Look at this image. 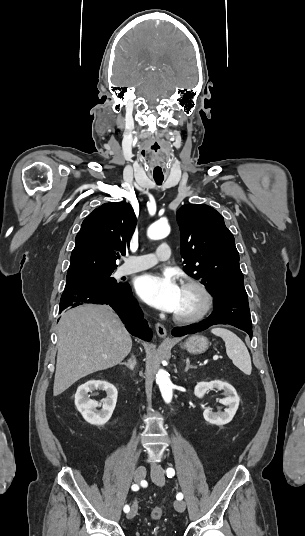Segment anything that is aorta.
<instances>
[{"label": "aorta", "mask_w": 305, "mask_h": 536, "mask_svg": "<svg viewBox=\"0 0 305 536\" xmlns=\"http://www.w3.org/2000/svg\"><path fill=\"white\" fill-rule=\"evenodd\" d=\"M169 233V224L166 222L158 221L153 223L148 228L147 236L151 240H159L167 237ZM156 382L159 386L162 398L166 403H170L173 397V384L170 380V375L164 369H159L156 374Z\"/></svg>", "instance_id": "obj_1"}]
</instances>
